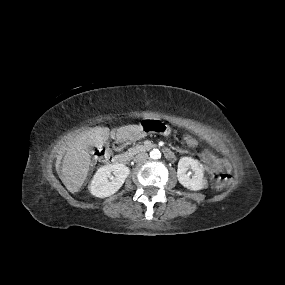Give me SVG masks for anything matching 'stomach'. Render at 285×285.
Masks as SVG:
<instances>
[{"mask_svg": "<svg viewBox=\"0 0 285 285\" xmlns=\"http://www.w3.org/2000/svg\"><path fill=\"white\" fill-rule=\"evenodd\" d=\"M155 126H162V129L160 131L165 132L168 131V127L166 125H164L163 123L159 122V121H143L139 127H140V131L135 134L133 137H130V139L132 140H136L139 139L141 137H144L145 135L149 134V133H154V127Z\"/></svg>", "mask_w": 285, "mask_h": 285, "instance_id": "obj_1", "label": "stomach"}]
</instances>
